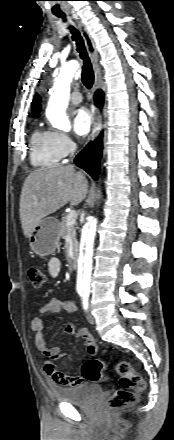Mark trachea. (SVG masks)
Listing matches in <instances>:
<instances>
[{
  "instance_id": "1",
  "label": "trachea",
  "mask_w": 174,
  "mask_h": 440,
  "mask_svg": "<svg viewBox=\"0 0 174 440\" xmlns=\"http://www.w3.org/2000/svg\"><path fill=\"white\" fill-rule=\"evenodd\" d=\"M59 17H61L64 21H66L64 16H59ZM70 30L72 33V39L76 42L77 52L79 53L80 58L83 60L82 82L86 88L90 89L94 82V73L84 45V41L78 30H76L72 26H70Z\"/></svg>"
}]
</instances>
